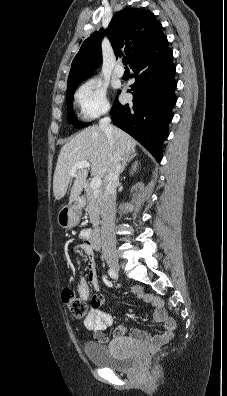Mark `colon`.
Instances as JSON below:
<instances>
[{
    "label": "colon",
    "instance_id": "colon-1",
    "mask_svg": "<svg viewBox=\"0 0 227 396\" xmlns=\"http://www.w3.org/2000/svg\"><path fill=\"white\" fill-rule=\"evenodd\" d=\"M62 300L68 306L70 312L77 318H83L87 314V305L71 287L62 290Z\"/></svg>",
    "mask_w": 227,
    "mask_h": 396
}]
</instances>
